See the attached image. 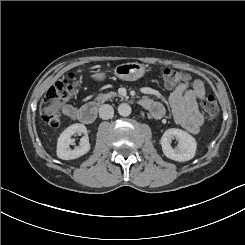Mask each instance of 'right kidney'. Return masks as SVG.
<instances>
[{
	"instance_id": "ca27d5eb",
	"label": "right kidney",
	"mask_w": 245,
	"mask_h": 245,
	"mask_svg": "<svg viewBox=\"0 0 245 245\" xmlns=\"http://www.w3.org/2000/svg\"><path fill=\"white\" fill-rule=\"evenodd\" d=\"M86 132L87 129L85 125L80 123H75L67 127L58 138L56 151L57 157L62 160H72L87 154L91 149L87 137H83L81 139V147H75L73 150L70 148L73 144L71 139L72 135L74 133L81 135Z\"/></svg>"
}]
</instances>
